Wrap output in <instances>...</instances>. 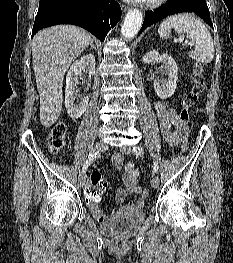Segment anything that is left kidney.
<instances>
[{"instance_id": "5707ae66", "label": "left kidney", "mask_w": 233, "mask_h": 263, "mask_svg": "<svg viewBox=\"0 0 233 263\" xmlns=\"http://www.w3.org/2000/svg\"><path fill=\"white\" fill-rule=\"evenodd\" d=\"M160 61L163 64V72L168 75L167 79L156 80L154 82V90L161 99L170 98L177 87L178 67L174 59L168 54L160 55L158 51H150L143 56L142 62L145 64Z\"/></svg>"}]
</instances>
